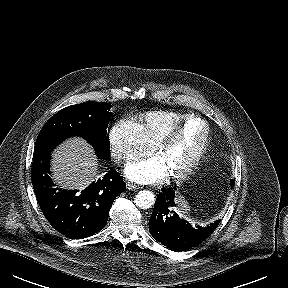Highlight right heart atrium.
I'll return each mask as SVG.
<instances>
[{
    "label": "right heart atrium",
    "mask_w": 288,
    "mask_h": 288,
    "mask_svg": "<svg viewBox=\"0 0 288 288\" xmlns=\"http://www.w3.org/2000/svg\"><path fill=\"white\" fill-rule=\"evenodd\" d=\"M109 143L112 157L117 163L136 160L152 151L139 124L131 119H122L114 124L109 133Z\"/></svg>",
    "instance_id": "obj_1"
}]
</instances>
